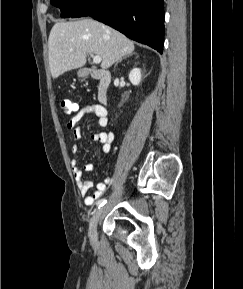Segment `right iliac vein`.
Here are the masks:
<instances>
[{
  "label": "right iliac vein",
  "mask_w": 243,
  "mask_h": 289,
  "mask_svg": "<svg viewBox=\"0 0 243 289\" xmlns=\"http://www.w3.org/2000/svg\"><path fill=\"white\" fill-rule=\"evenodd\" d=\"M102 213H103V208H99L93 218L91 219L90 221V225H89V237L91 240H95L96 237H97V225H98V222L102 216Z\"/></svg>",
  "instance_id": "1"
}]
</instances>
